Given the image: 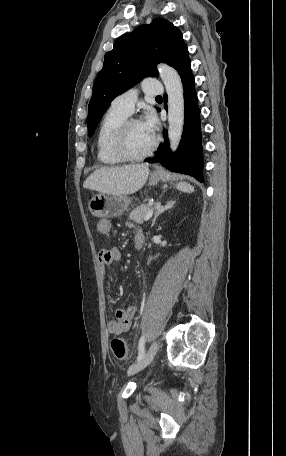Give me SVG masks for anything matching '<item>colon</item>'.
Instances as JSON below:
<instances>
[{
  "mask_svg": "<svg viewBox=\"0 0 286 456\" xmlns=\"http://www.w3.org/2000/svg\"><path fill=\"white\" fill-rule=\"evenodd\" d=\"M111 348L114 356L119 360H124L128 356V347L124 339L114 338L111 341Z\"/></svg>",
  "mask_w": 286,
  "mask_h": 456,
  "instance_id": "1",
  "label": "colon"
}]
</instances>
